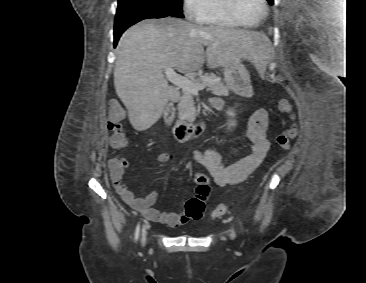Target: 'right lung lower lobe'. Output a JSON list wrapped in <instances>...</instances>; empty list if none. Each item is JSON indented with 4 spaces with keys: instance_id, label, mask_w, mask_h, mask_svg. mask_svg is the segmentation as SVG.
Listing matches in <instances>:
<instances>
[{
    "instance_id": "obj_1",
    "label": "right lung lower lobe",
    "mask_w": 366,
    "mask_h": 283,
    "mask_svg": "<svg viewBox=\"0 0 366 283\" xmlns=\"http://www.w3.org/2000/svg\"><path fill=\"white\" fill-rule=\"evenodd\" d=\"M169 15L158 12V11H139V12H131V13H123L118 14L115 17V26H114V47H116L118 39L122 35V33L131 25L149 18H163Z\"/></svg>"
}]
</instances>
